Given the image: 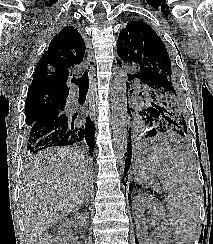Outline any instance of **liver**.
Wrapping results in <instances>:
<instances>
[{
	"mask_svg": "<svg viewBox=\"0 0 213 244\" xmlns=\"http://www.w3.org/2000/svg\"><path fill=\"white\" fill-rule=\"evenodd\" d=\"M89 165L72 147L45 149L31 158L20 189V204L29 244L84 200Z\"/></svg>",
	"mask_w": 213,
	"mask_h": 244,
	"instance_id": "liver-1",
	"label": "liver"
}]
</instances>
